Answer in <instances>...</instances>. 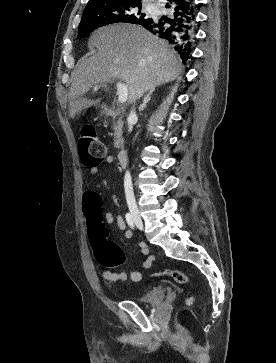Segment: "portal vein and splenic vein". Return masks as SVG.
I'll return each mask as SVG.
<instances>
[{"label": "portal vein and splenic vein", "mask_w": 276, "mask_h": 363, "mask_svg": "<svg viewBox=\"0 0 276 363\" xmlns=\"http://www.w3.org/2000/svg\"><path fill=\"white\" fill-rule=\"evenodd\" d=\"M116 87H117L118 101L120 103H125L127 101V98H128V87H127V85L124 84V83H121V82H117Z\"/></svg>", "instance_id": "18ae733b"}]
</instances>
